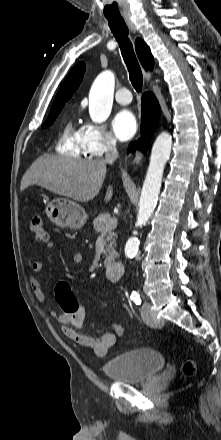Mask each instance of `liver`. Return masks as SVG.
<instances>
[{"mask_svg": "<svg viewBox=\"0 0 221 440\" xmlns=\"http://www.w3.org/2000/svg\"><path fill=\"white\" fill-rule=\"evenodd\" d=\"M107 172L103 159L76 160L68 157L44 155L26 171L20 189L38 185L58 195L79 202H88L98 195ZM113 195L112 186L107 188L105 201Z\"/></svg>", "mask_w": 221, "mask_h": 440, "instance_id": "liver-1", "label": "liver"}]
</instances>
